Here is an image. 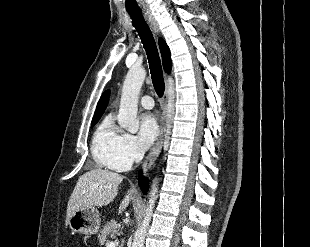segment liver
<instances>
[{
  "instance_id": "1",
  "label": "liver",
  "mask_w": 310,
  "mask_h": 247,
  "mask_svg": "<svg viewBox=\"0 0 310 247\" xmlns=\"http://www.w3.org/2000/svg\"><path fill=\"white\" fill-rule=\"evenodd\" d=\"M122 180L123 176L117 172L100 168L92 169L81 175L68 201L66 224L73 213L79 209L102 207L112 202ZM131 193L132 191L128 190L122 200L119 214L129 205L132 199Z\"/></svg>"
}]
</instances>
